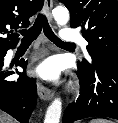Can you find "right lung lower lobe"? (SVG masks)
<instances>
[{
	"label": "right lung lower lobe",
	"instance_id": "1",
	"mask_svg": "<svg viewBox=\"0 0 118 123\" xmlns=\"http://www.w3.org/2000/svg\"><path fill=\"white\" fill-rule=\"evenodd\" d=\"M7 50L0 52V109L7 112L20 123H28L31 113L37 103V88L34 79H29L25 73L14 81L5 78L14 74L4 69V57ZM27 61L21 59L19 66L26 68ZM18 73V71H17Z\"/></svg>",
	"mask_w": 118,
	"mask_h": 123
}]
</instances>
